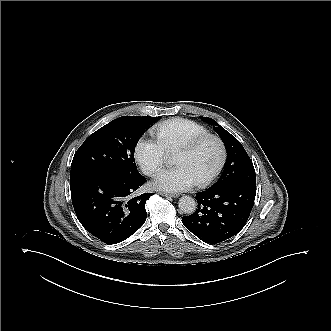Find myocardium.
I'll use <instances>...</instances> for the list:
<instances>
[{"instance_id":"1","label":"myocardium","mask_w":331,"mask_h":331,"mask_svg":"<svg viewBox=\"0 0 331 331\" xmlns=\"http://www.w3.org/2000/svg\"><path fill=\"white\" fill-rule=\"evenodd\" d=\"M206 143H212L215 145V147L218 151V160H217L215 166L213 167V169L209 173L197 177L199 184L206 183V182H209L210 180H212L215 176H217L219 174V172L221 171V169L224 166L225 151H224V148H223V145H222L220 139L214 135L203 134V135H200V136L195 137L194 139L190 140L177 153V157H182L184 155H190L196 149H198L199 147H201L202 145H204Z\"/></svg>"}]
</instances>
